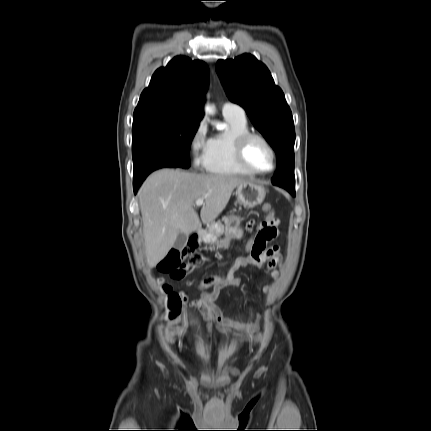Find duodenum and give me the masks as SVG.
I'll use <instances>...</instances> for the list:
<instances>
[{
    "mask_svg": "<svg viewBox=\"0 0 431 431\" xmlns=\"http://www.w3.org/2000/svg\"><path fill=\"white\" fill-rule=\"evenodd\" d=\"M205 237H206V232L201 228H197L191 236V239H190V241L192 242L191 244L195 242H201L205 239Z\"/></svg>",
    "mask_w": 431,
    "mask_h": 431,
    "instance_id": "duodenum-1",
    "label": "duodenum"
}]
</instances>
